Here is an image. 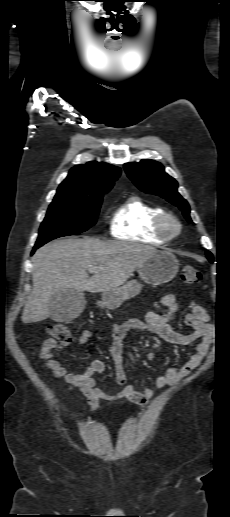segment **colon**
I'll return each instance as SVG.
<instances>
[{"mask_svg": "<svg viewBox=\"0 0 230 517\" xmlns=\"http://www.w3.org/2000/svg\"><path fill=\"white\" fill-rule=\"evenodd\" d=\"M181 278L187 284H197L202 279L201 272L190 265L184 266L181 270ZM48 334L62 343H71L74 340L72 331L62 323H54L47 329Z\"/></svg>", "mask_w": 230, "mask_h": 517, "instance_id": "5ec220e1", "label": "colon"}]
</instances>
